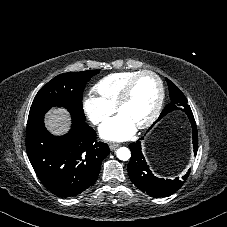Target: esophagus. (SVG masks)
Wrapping results in <instances>:
<instances>
[{
	"mask_svg": "<svg viewBox=\"0 0 227 227\" xmlns=\"http://www.w3.org/2000/svg\"><path fill=\"white\" fill-rule=\"evenodd\" d=\"M119 147V144H114V143H110L109 144V148L111 149V150H115V149H117Z\"/></svg>",
	"mask_w": 227,
	"mask_h": 227,
	"instance_id": "34e87169",
	"label": "esophagus"
}]
</instances>
